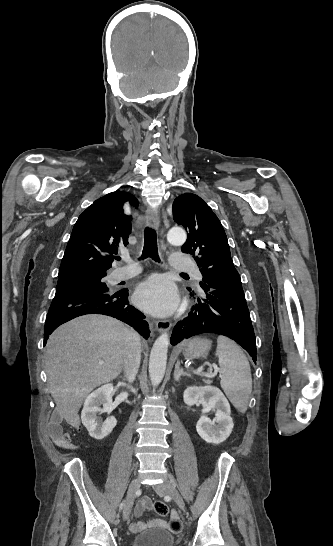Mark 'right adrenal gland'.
Returning a JSON list of instances; mask_svg holds the SVG:
<instances>
[{
  "label": "right adrenal gland",
  "mask_w": 333,
  "mask_h": 546,
  "mask_svg": "<svg viewBox=\"0 0 333 546\" xmlns=\"http://www.w3.org/2000/svg\"><path fill=\"white\" fill-rule=\"evenodd\" d=\"M121 378H122V381H123V382H125V381H126L125 377H121Z\"/></svg>",
  "instance_id": "right-adrenal-gland-1"
}]
</instances>
